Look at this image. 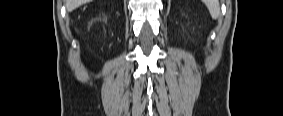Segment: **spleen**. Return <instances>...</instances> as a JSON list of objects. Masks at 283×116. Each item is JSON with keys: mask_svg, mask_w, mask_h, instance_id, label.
Listing matches in <instances>:
<instances>
[{"mask_svg": "<svg viewBox=\"0 0 283 116\" xmlns=\"http://www.w3.org/2000/svg\"><path fill=\"white\" fill-rule=\"evenodd\" d=\"M205 4L213 19H218L220 16V5L218 0H206Z\"/></svg>", "mask_w": 283, "mask_h": 116, "instance_id": "spleen-1", "label": "spleen"}]
</instances>
